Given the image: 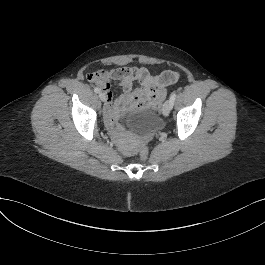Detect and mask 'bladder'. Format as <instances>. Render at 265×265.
Instances as JSON below:
<instances>
[{
  "mask_svg": "<svg viewBox=\"0 0 265 265\" xmlns=\"http://www.w3.org/2000/svg\"><path fill=\"white\" fill-rule=\"evenodd\" d=\"M159 113L155 109H145L133 114L129 121L128 126L132 131L145 133L154 131L158 128Z\"/></svg>",
  "mask_w": 265,
  "mask_h": 265,
  "instance_id": "31cf9c89",
  "label": "bladder"
}]
</instances>
